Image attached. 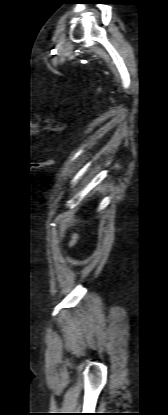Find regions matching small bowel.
Instances as JSON below:
<instances>
[{
  "label": "small bowel",
  "mask_w": 168,
  "mask_h": 415,
  "mask_svg": "<svg viewBox=\"0 0 168 415\" xmlns=\"http://www.w3.org/2000/svg\"><path fill=\"white\" fill-rule=\"evenodd\" d=\"M75 243V238L72 240L71 244L73 245Z\"/></svg>",
  "instance_id": "obj_1"
}]
</instances>
